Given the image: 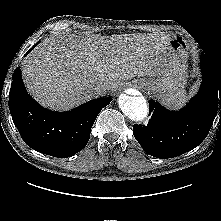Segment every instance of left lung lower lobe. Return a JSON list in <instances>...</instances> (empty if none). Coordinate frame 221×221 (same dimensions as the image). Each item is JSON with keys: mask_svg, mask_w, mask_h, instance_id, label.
Instances as JSON below:
<instances>
[{"mask_svg": "<svg viewBox=\"0 0 221 221\" xmlns=\"http://www.w3.org/2000/svg\"><path fill=\"white\" fill-rule=\"evenodd\" d=\"M203 81L199 92L179 111H170L149 101L147 126L134 124L133 134L151 156L167 159L197 147L207 136L221 104V75L201 54Z\"/></svg>", "mask_w": 221, "mask_h": 221, "instance_id": "left-lung-lower-lobe-1", "label": "left lung lower lobe"}]
</instances>
